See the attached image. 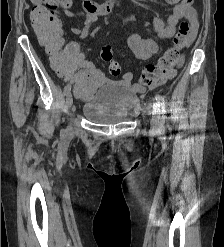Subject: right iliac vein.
<instances>
[{
	"label": "right iliac vein",
	"instance_id": "right-iliac-vein-1",
	"mask_svg": "<svg viewBox=\"0 0 224 247\" xmlns=\"http://www.w3.org/2000/svg\"><path fill=\"white\" fill-rule=\"evenodd\" d=\"M73 104V97L72 94L69 92L66 96V107L67 109H70Z\"/></svg>",
	"mask_w": 224,
	"mask_h": 247
}]
</instances>
